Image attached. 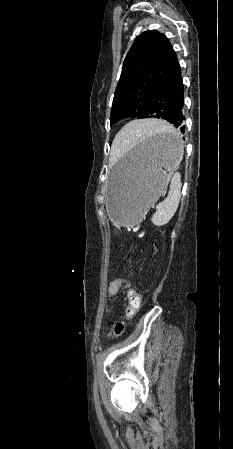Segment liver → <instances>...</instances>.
Segmentation results:
<instances>
[{
  "mask_svg": "<svg viewBox=\"0 0 233 449\" xmlns=\"http://www.w3.org/2000/svg\"><path fill=\"white\" fill-rule=\"evenodd\" d=\"M147 123L151 122V120H145ZM159 124H161L164 127H169L170 126L164 122H158ZM132 129L133 127L131 126V124H128L127 126H125L123 128V130L116 136L114 142H113V148L112 150L115 151L118 146L123 142V140H125L129 135L132 134Z\"/></svg>",
  "mask_w": 233,
  "mask_h": 449,
  "instance_id": "obj_1",
  "label": "liver"
}]
</instances>
